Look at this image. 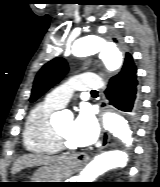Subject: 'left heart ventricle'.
<instances>
[{"label": "left heart ventricle", "mask_w": 160, "mask_h": 187, "mask_svg": "<svg viewBox=\"0 0 160 187\" xmlns=\"http://www.w3.org/2000/svg\"><path fill=\"white\" fill-rule=\"evenodd\" d=\"M57 128L72 143V145L76 146V144L71 139V130H72L71 120L61 122L60 124H58Z\"/></svg>", "instance_id": "left-heart-ventricle-1"}]
</instances>
